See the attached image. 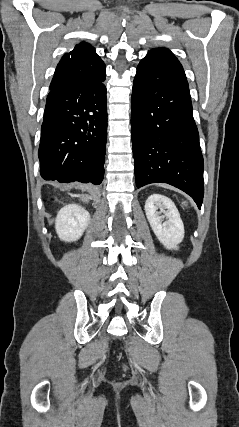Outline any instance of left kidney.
Returning a JSON list of instances; mask_svg holds the SVG:
<instances>
[{"label": "left kidney", "mask_w": 239, "mask_h": 427, "mask_svg": "<svg viewBox=\"0 0 239 427\" xmlns=\"http://www.w3.org/2000/svg\"><path fill=\"white\" fill-rule=\"evenodd\" d=\"M161 212L163 215L160 216ZM145 213L158 240L167 249L177 250L184 238V225L172 200L160 194H152L145 202ZM164 218L167 220L164 221Z\"/></svg>", "instance_id": "1"}]
</instances>
